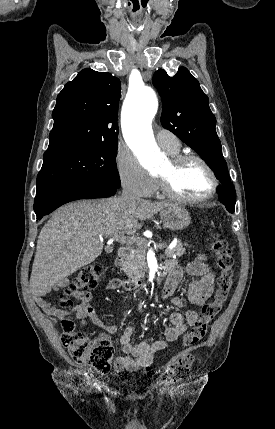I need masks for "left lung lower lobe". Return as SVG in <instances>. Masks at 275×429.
I'll return each instance as SVG.
<instances>
[{"instance_id": "obj_1", "label": "left lung lower lobe", "mask_w": 275, "mask_h": 429, "mask_svg": "<svg viewBox=\"0 0 275 429\" xmlns=\"http://www.w3.org/2000/svg\"><path fill=\"white\" fill-rule=\"evenodd\" d=\"M217 193H218V197L221 199V198H224L225 196H226V188H225V186H220V187H218V189H217Z\"/></svg>"}]
</instances>
